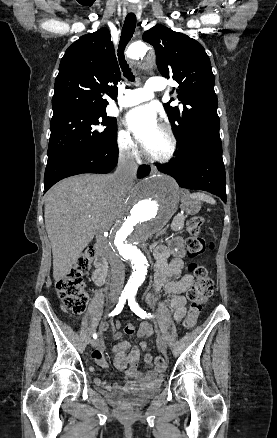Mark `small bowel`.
I'll use <instances>...</instances> for the list:
<instances>
[{"label":"small bowel","instance_id":"small-bowel-1","mask_svg":"<svg viewBox=\"0 0 277 438\" xmlns=\"http://www.w3.org/2000/svg\"><path fill=\"white\" fill-rule=\"evenodd\" d=\"M170 249L167 246H159L155 251V275L151 285L150 291L146 295V301L148 304L152 303L153 294L164 288L165 292L170 296V307L174 316V319L180 321L186 314V299L185 292L190 288L193 283V276L189 273H184L185 261H184V250L181 247L176 249L175 256L170 259ZM118 328L120 326L119 322L115 323ZM107 329L106 325L101 327V331ZM114 337L120 341L115 347V366L125 372L126 386H131L133 384H139L145 387H156L160 380L161 375L159 372H153L149 370L147 372L137 371L140 360V349L144 350L147 348V343L144 340L145 337L152 335L153 329L149 323H142L139 331L138 347L131 348L130 343L122 339V334L116 332V328H113ZM125 333L132 334L135 331L134 326L127 325L124 328ZM106 351L105 345H99L97 349L93 352V358L102 366H106V360L104 358V353ZM153 357L151 354L145 355V362L151 365ZM94 373V369H91ZM96 384L105 387L108 390H113L116 388L115 385L107 384L105 381L96 379Z\"/></svg>","mask_w":277,"mask_h":438}]
</instances>
